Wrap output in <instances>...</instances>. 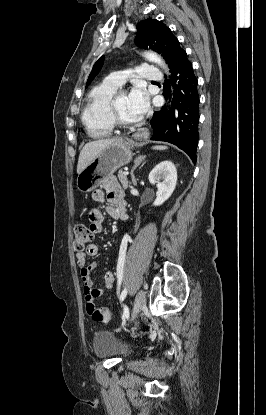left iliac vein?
<instances>
[{"instance_id": "1", "label": "left iliac vein", "mask_w": 266, "mask_h": 415, "mask_svg": "<svg viewBox=\"0 0 266 415\" xmlns=\"http://www.w3.org/2000/svg\"><path fill=\"white\" fill-rule=\"evenodd\" d=\"M146 306V296L145 292L140 290L136 296L134 307L131 314V320L133 321L137 315L144 309Z\"/></svg>"}]
</instances>
